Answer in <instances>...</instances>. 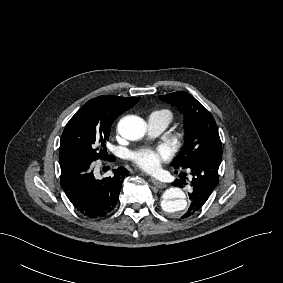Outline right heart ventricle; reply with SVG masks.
<instances>
[{"mask_svg":"<svg viewBox=\"0 0 283 283\" xmlns=\"http://www.w3.org/2000/svg\"><path fill=\"white\" fill-rule=\"evenodd\" d=\"M157 114V115H160V116H163V117H167L168 120H169V123L172 121L173 119V114L170 110L168 109H159V110H156V111H153L151 114Z\"/></svg>","mask_w":283,"mask_h":283,"instance_id":"right-heart-ventricle-1","label":"right heart ventricle"}]
</instances>
